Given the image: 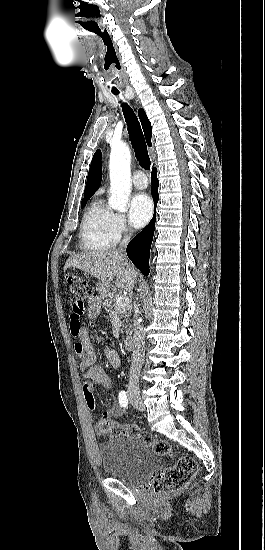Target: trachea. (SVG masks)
<instances>
[{"label":"trachea","instance_id":"trachea-1","mask_svg":"<svg viewBox=\"0 0 265 550\" xmlns=\"http://www.w3.org/2000/svg\"><path fill=\"white\" fill-rule=\"evenodd\" d=\"M114 95H118L119 92H113ZM123 115L127 123V129L129 133V138L131 144L135 151V156L140 164V166L146 170L150 169V158L147 151V146L145 138L138 121L137 116L135 115L132 108L127 103L121 104Z\"/></svg>","mask_w":265,"mask_h":550}]
</instances>
